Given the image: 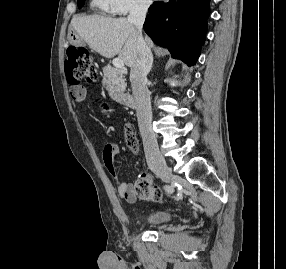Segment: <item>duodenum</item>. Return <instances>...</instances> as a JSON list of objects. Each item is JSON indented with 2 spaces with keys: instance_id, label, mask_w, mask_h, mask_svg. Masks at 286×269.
<instances>
[{
  "instance_id": "duodenum-1",
  "label": "duodenum",
  "mask_w": 286,
  "mask_h": 269,
  "mask_svg": "<svg viewBox=\"0 0 286 269\" xmlns=\"http://www.w3.org/2000/svg\"><path fill=\"white\" fill-rule=\"evenodd\" d=\"M121 102L124 106L130 109H135L137 107L135 98L132 95H124Z\"/></svg>"
}]
</instances>
